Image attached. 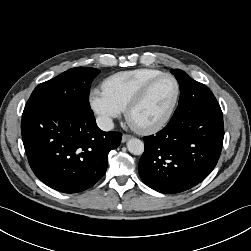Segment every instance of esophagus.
<instances>
[{
  "mask_svg": "<svg viewBox=\"0 0 251 251\" xmlns=\"http://www.w3.org/2000/svg\"><path fill=\"white\" fill-rule=\"evenodd\" d=\"M131 138H132V136L129 134H123L122 135V142L125 143L126 141H128Z\"/></svg>",
  "mask_w": 251,
  "mask_h": 251,
  "instance_id": "34e87169",
  "label": "esophagus"
}]
</instances>
